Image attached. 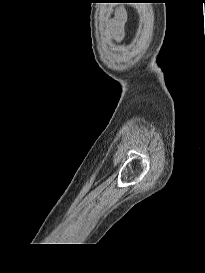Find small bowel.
<instances>
[{"instance_id":"obj_1","label":"small bowel","mask_w":205,"mask_h":273,"mask_svg":"<svg viewBox=\"0 0 205 273\" xmlns=\"http://www.w3.org/2000/svg\"><path fill=\"white\" fill-rule=\"evenodd\" d=\"M111 26L114 30V32L117 34V35H122L123 33V28L121 26V22L118 18L114 19L111 23Z\"/></svg>"}]
</instances>
